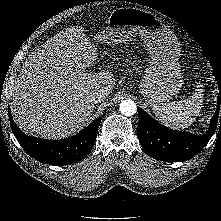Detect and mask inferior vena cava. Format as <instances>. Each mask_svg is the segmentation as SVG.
I'll return each instance as SVG.
<instances>
[{
    "mask_svg": "<svg viewBox=\"0 0 221 221\" xmlns=\"http://www.w3.org/2000/svg\"><path fill=\"white\" fill-rule=\"evenodd\" d=\"M107 94L103 90H97L91 94V100L98 103L106 98Z\"/></svg>",
    "mask_w": 221,
    "mask_h": 221,
    "instance_id": "602c4592",
    "label": "inferior vena cava"
}]
</instances>
